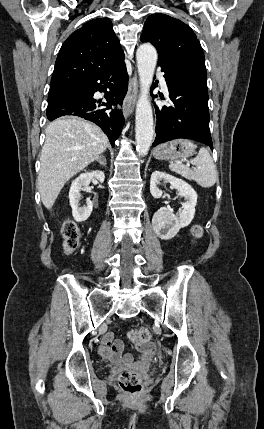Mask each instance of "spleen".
Here are the masks:
<instances>
[{
    "label": "spleen",
    "mask_w": 264,
    "mask_h": 429,
    "mask_svg": "<svg viewBox=\"0 0 264 429\" xmlns=\"http://www.w3.org/2000/svg\"><path fill=\"white\" fill-rule=\"evenodd\" d=\"M191 163L196 166L195 169H190L177 162H171L169 168L186 179L196 181L203 188H209L216 183L218 173L206 148H200L198 155L191 160Z\"/></svg>",
    "instance_id": "spleen-1"
}]
</instances>
